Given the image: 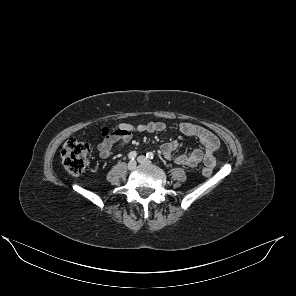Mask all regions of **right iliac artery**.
<instances>
[{"label": "right iliac artery", "mask_w": 296, "mask_h": 296, "mask_svg": "<svg viewBox=\"0 0 296 296\" xmlns=\"http://www.w3.org/2000/svg\"><path fill=\"white\" fill-rule=\"evenodd\" d=\"M136 156H137L136 151H132L129 153L128 158L131 160H134L136 158Z\"/></svg>", "instance_id": "right-iliac-artery-1"}]
</instances>
